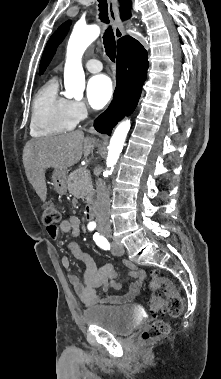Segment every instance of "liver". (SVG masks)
Instances as JSON below:
<instances>
[{"mask_svg": "<svg viewBox=\"0 0 221 379\" xmlns=\"http://www.w3.org/2000/svg\"><path fill=\"white\" fill-rule=\"evenodd\" d=\"M94 140L84 137L82 131L57 136L31 139L23 150V164L27 178L40 199L45 202L47 168L67 169L77 164L82 155L88 156L94 148Z\"/></svg>", "mask_w": 221, "mask_h": 379, "instance_id": "liver-1", "label": "liver"}]
</instances>
